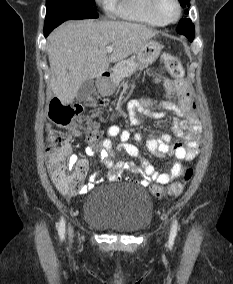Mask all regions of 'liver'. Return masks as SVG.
Returning <instances> with one entry per match:
<instances>
[{
	"mask_svg": "<svg viewBox=\"0 0 233 284\" xmlns=\"http://www.w3.org/2000/svg\"><path fill=\"white\" fill-rule=\"evenodd\" d=\"M158 34L142 25L123 21H69L48 37L51 88L62 104L74 101L82 83L100 77L109 63L139 51ZM114 46L108 57L107 46Z\"/></svg>",
	"mask_w": 233,
	"mask_h": 284,
	"instance_id": "obj_1",
	"label": "liver"
}]
</instances>
